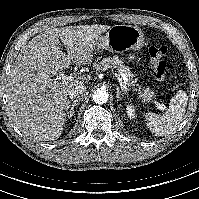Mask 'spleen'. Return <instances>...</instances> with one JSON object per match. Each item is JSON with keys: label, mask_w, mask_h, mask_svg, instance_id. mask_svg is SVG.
Here are the masks:
<instances>
[{"label": "spleen", "mask_w": 199, "mask_h": 199, "mask_svg": "<svg viewBox=\"0 0 199 199\" xmlns=\"http://www.w3.org/2000/svg\"><path fill=\"white\" fill-rule=\"evenodd\" d=\"M187 101L186 92L180 90L171 99L165 113L160 115L149 112L143 115L150 131L156 136H166L175 131L184 117Z\"/></svg>", "instance_id": "spleen-1"}]
</instances>
